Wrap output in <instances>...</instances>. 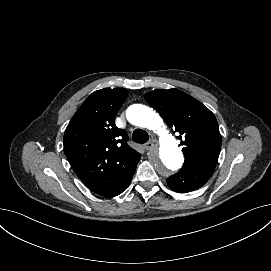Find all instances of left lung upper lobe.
I'll return each instance as SVG.
<instances>
[{
    "label": "left lung upper lobe",
    "instance_id": "5c2ea615",
    "mask_svg": "<svg viewBox=\"0 0 271 271\" xmlns=\"http://www.w3.org/2000/svg\"><path fill=\"white\" fill-rule=\"evenodd\" d=\"M145 99L170 128L180 133L185 155L182 168H215L221 149V135L214 114L206 106L174 88L151 91Z\"/></svg>",
    "mask_w": 271,
    "mask_h": 271
}]
</instances>
